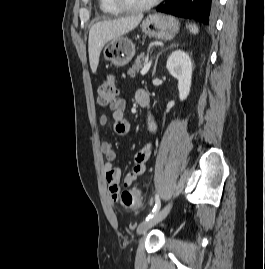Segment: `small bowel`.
Listing matches in <instances>:
<instances>
[{
  "label": "small bowel",
  "mask_w": 265,
  "mask_h": 269,
  "mask_svg": "<svg viewBox=\"0 0 265 269\" xmlns=\"http://www.w3.org/2000/svg\"><path fill=\"white\" fill-rule=\"evenodd\" d=\"M135 100L142 106H148L150 104V95L144 90L140 89L135 93ZM125 108L126 101L124 99L117 100L112 106V118L114 120V129L115 132L124 136L130 131V122L125 118ZM109 117L107 115H101L99 117V124L102 127H106L109 124ZM157 129L156 123L151 119L149 121V130L151 132H155ZM153 145L152 143H148L144 148L139 150L134 155V164L131 170L126 174L124 178L125 185H131L133 182L137 180L139 176H141L146 168V164L152 154ZM102 153L105 156V163L103 166V170L105 173L106 181L110 186L111 194L114 198L116 195L114 194V190L119 191V183L121 178V172L118 168L114 166V161L116 160L117 154L114 149V146L110 142H104L101 146Z\"/></svg>",
  "instance_id": "obj_1"
}]
</instances>
